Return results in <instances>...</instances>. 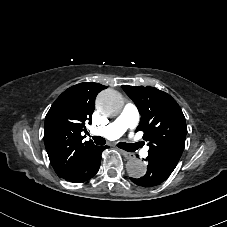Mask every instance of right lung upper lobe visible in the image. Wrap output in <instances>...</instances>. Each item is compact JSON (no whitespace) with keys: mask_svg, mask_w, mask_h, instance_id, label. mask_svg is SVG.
<instances>
[{"mask_svg":"<svg viewBox=\"0 0 227 227\" xmlns=\"http://www.w3.org/2000/svg\"><path fill=\"white\" fill-rule=\"evenodd\" d=\"M98 83L84 82L64 91L53 103L45 118L44 143L50 162L62 176L95 145L83 141L85 123H91L97 94L105 89Z\"/></svg>","mask_w":227,"mask_h":227,"instance_id":"right-lung-upper-lobe-1","label":"right lung upper lobe"}]
</instances>
